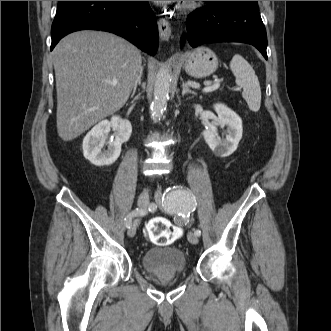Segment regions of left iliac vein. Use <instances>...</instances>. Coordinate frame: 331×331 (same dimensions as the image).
Instances as JSON below:
<instances>
[{
    "label": "left iliac vein",
    "instance_id": "4c4485c4",
    "mask_svg": "<svg viewBox=\"0 0 331 331\" xmlns=\"http://www.w3.org/2000/svg\"><path fill=\"white\" fill-rule=\"evenodd\" d=\"M187 239L191 244H197L198 243V236L193 233V232H189L187 235Z\"/></svg>",
    "mask_w": 331,
    "mask_h": 331
}]
</instances>
